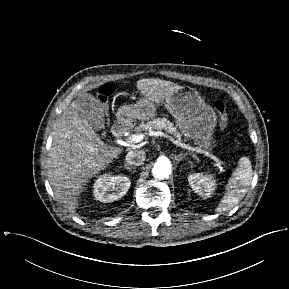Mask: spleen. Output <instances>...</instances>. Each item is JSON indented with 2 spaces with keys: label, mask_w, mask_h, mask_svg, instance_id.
I'll list each match as a JSON object with an SVG mask.
<instances>
[{
  "label": "spleen",
  "mask_w": 289,
  "mask_h": 289,
  "mask_svg": "<svg viewBox=\"0 0 289 289\" xmlns=\"http://www.w3.org/2000/svg\"><path fill=\"white\" fill-rule=\"evenodd\" d=\"M252 166L247 157L239 160L236 171L229 178L226 193L216 208V212L222 213L234 208L246 195L252 181Z\"/></svg>",
  "instance_id": "obj_1"
}]
</instances>
